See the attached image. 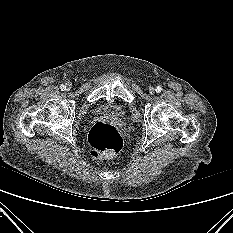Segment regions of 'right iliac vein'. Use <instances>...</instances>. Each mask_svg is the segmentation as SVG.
<instances>
[{"mask_svg":"<svg viewBox=\"0 0 233 233\" xmlns=\"http://www.w3.org/2000/svg\"><path fill=\"white\" fill-rule=\"evenodd\" d=\"M71 88H72V84L71 83H67V90H71Z\"/></svg>","mask_w":233,"mask_h":233,"instance_id":"63e3f726","label":"right iliac vein"}]
</instances>
